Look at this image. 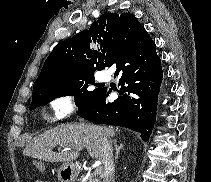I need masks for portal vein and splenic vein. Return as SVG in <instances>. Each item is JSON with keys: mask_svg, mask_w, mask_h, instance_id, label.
Segmentation results:
<instances>
[{"mask_svg": "<svg viewBox=\"0 0 211 182\" xmlns=\"http://www.w3.org/2000/svg\"><path fill=\"white\" fill-rule=\"evenodd\" d=\"M71 149H76V150H82V147H74V148H66V150H71ZM95 172L97 173V174H100L101 173V168H100V166H98L97 168H96V170H95Z\"/></svg>", "mask_w": 211, "mask_h": 182, "instance_id": "18ae733b", "label": "portal vein and splenic vein"}]
</instances>
